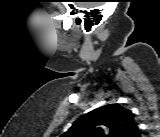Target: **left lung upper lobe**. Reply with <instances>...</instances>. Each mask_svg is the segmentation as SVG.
<instances>
[{"instance_id": "5c2ea615", "label": "left lung upper lobe", "mask_w": 160, "mask_h": 137, "mask_svg": "<svg viewBox=\"0 0 160 137\" xmlns=\"http://www.w3.org/2000/svg\"><path fill=\"white\" fill-rule=\"evenodd\" d=\"M133 113L119 104L97 108L76 120L64 137H135Z\"/></svg>"}]
</instances>
